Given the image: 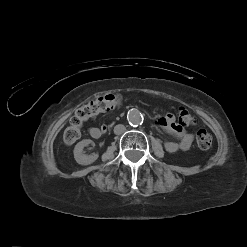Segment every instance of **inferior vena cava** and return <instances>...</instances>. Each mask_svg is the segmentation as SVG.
Instances as JSON below:
<instances>
[{"instance_id":"602c4592","label":"inferior vena cava","mask_w":247,"mask_h":247,"mask_svg":"<svg viewBox=\"0 0 247 247\" xmlns=\"http://www.w3.org/2000/svg\"><path fill=\"white\" fill-rule=\"evenodd\" d=\"M126 131V127L122 124H118L114 127V133L116 135H121Z\"/></svg>"}]
</instances>
